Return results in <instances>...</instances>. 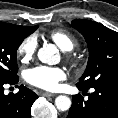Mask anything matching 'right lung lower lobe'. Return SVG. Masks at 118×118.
<instances>
[{
	"label": "right lung lower lobe",
	"mask_w": 118,
	"mask_h": 118,
	"mask_svg": "<svg viewBox=\"0 0 118 118\" xmlns=\"http://www.w3.org/2000/svg\"><path fill=\"white\" fill-rule=\"evenodd\" d=\"M18 77L8 81L0 82V118H30L31 106L38 98L36 93L21 85L16 94H4V85H14Z\"/></svg>",
	"instance_id": "obj_1"
}]
</instances>
